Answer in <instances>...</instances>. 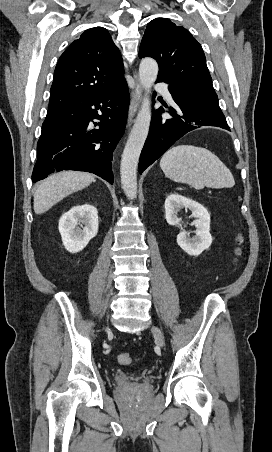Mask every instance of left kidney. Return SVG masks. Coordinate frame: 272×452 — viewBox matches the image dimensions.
I'll list each match as a JSON object with an SVG mask.
<instances>
[{
  "instance_id": "left-kidney-1",
  "label": "left kidney",
  "mask_w": 272,
  "mask_h": 452,
  "mask_svg": "<svg viewBox=\"0 0 272 452\" xmlns=\"http://www.w3.org/2000/svg\"><path fill=\"white\" fill-rule=\"evenodd\" d=\"M183 208L189 209L192 216L196 218L193 222L196 227V236L190 238L187 232L182 229L177 235V243L189 255L199 256L212 243L210 214L200 203L177 193L170 194L165 200V216L169 225H181L178 212Z\"/></svg>"
}]
</instances>
